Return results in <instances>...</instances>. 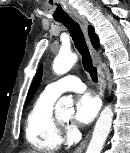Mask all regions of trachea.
I'll use <instances>...</instances> for the list:
<instances>
[{"instance_id":"trachea-1","label":"trachea","mask_w":130,"mask_h":153,"mask_svg":"<svg viewBox=\"0 0 130 153\" xmlns=\"http://www.w3.org/2000/svg\"><path fill=\"white\" fill-rule=\"evenodd\" d=\"M56 21L62 23L68 29L74 41L76 49L79 51V53L82 56V63L85 71H87L90 74L94 82H97L98 81L97 69L93 66L89 49L86 45L83 32L80 26L78 25V23L69 16L56 19Z\"/></svg>"}]
</instances>
